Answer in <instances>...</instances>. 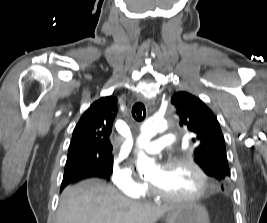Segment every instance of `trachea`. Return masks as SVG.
Returning <instances> with one entry per match:
<instances>
[{
    "label": "trachea",
    "instance_id": "3493384b",
    "mask_svg": "<svg viewBox=\"0 0 267 223\" xmlns=\"http://www.w3.org/2000/svg\"><path fill=\"white\" fill-rule=\"evenodd\" d=\"M132 116L138 122H141L145 119L146 108L143 103L138 102L134 104V106L132 107Z\"/></svg>",
    "mask_w": 267,
    "mask_h": 223
}]
</instances>
